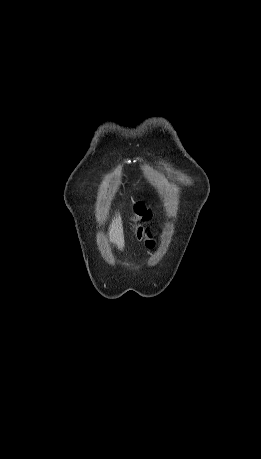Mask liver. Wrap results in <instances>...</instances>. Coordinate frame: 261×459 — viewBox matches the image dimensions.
<instances>
[{"instance_id":"6515ba94","label":"liver","mask_w":261,"mask_h":459,"mask_svg":"<svg viewBox=\"0 0 261 459\" xmlns=\"http://www.w3.org/2000/svg\"><path fill=\"white\" fill-rule=\"evenodd\" d=\"M112 240H113V242H115L120 247V243H119V241H118L116 236L113 235Z\"/></svg>"}]
</instances>
